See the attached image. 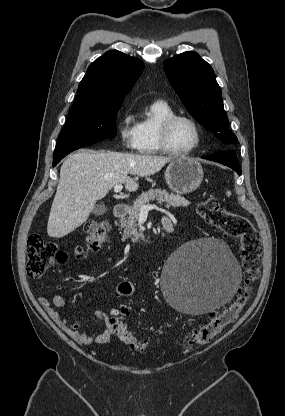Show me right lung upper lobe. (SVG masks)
<instances>
[{
    "mask_svg": "<svg viewBox=\"0 0 285 416\" xmlns=\"http://www.w3.org/2000/svg\"><path fill=\"white\" fill-rule=\"evenodd\" d=\"M144 63L117 50L106 52L87 69L75 102L102 104L123 101L140 77Z\"/></svg>",
    "mask_w": 285,
    "mask_h": 416,
    "instance_id": "right-lung-upper-lobe-1",
    "label": "right lung upper lobe"
}]
</instances>
